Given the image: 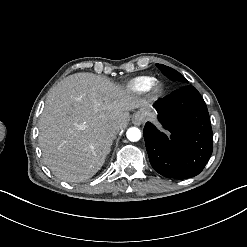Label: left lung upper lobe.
Here are the masks:
<instances>
[{"mask_svg":"<svg viewBox=\"0 0 247 247\" xmlns=\"http://www.w3.org/2000/svg\"><path fill=\"white\" fill-rule=\"evenodd\" d=\"M156 66L162 71V73L168 77L171 80H175V81H180L183 83H187L188 81L185 79V77H183L179 72H177L176 70L162 65V64H156Z\"/></svg>","mask_w":247,"mask_h":247,"instance_id":"left-lung-upper-lobe-1","label":"left lung upper lobe"}]
</instances>
